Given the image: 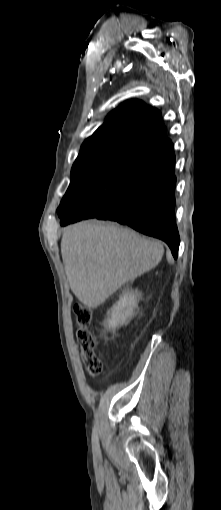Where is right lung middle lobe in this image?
<instances>
[{
    "mask_svg": "<svg viewBox=\"0 0 221 510\" xmlns=\"http://www.w3.org/2000/svg\"><path fill=\"white\" fill-rule=\"evenodd\" d=\"M151 154L127 148L76 159L70 185L57 209L59 217L70 215L80 204L91 213L114 207Z\"/></svg>",
    "mask_w": 221,
    "mask_h": 510,
    "instance_id": "obj_1",
    "label": "right lung middle lobe"
}]
</instances>
